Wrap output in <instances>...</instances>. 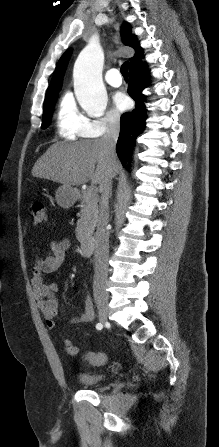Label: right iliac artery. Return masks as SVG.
<instances>
[{
	"label": "right iliac artery",
	"mask_w": 219,
	"mask_h": 447,
	"mask_svg": "<svg viewBox=\"0 0 219 447\" xmlns=\"http://www.w3.org/2000/svg\"><path fill=\"white\" fill-rule=\"evenodd\" d=\"M96 328L99 330V329H101L102 328V324L101 323H98L97 325H96Z\"/></svg>",
	"instance_id": "obj_1"
}]
</instances>
